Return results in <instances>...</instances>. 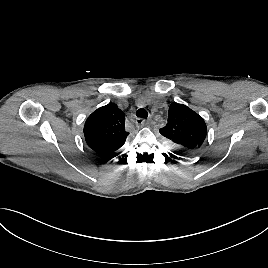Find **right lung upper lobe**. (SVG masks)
Instances as JSON below:
<instances>
[{
	"instance_id": "cb5924a9",
	"label": "right lung upper lobe",
	"mask_w": 268,
	"mask_h": 268,
	"mask_svg": "<svg viewBox=\"0 0 268 268\" xmlns=\"http://www.w3.org/2000/svg\"><path fill=\"white\" fill-rule=\"evenodd\" d=\"M128 135L125 130V116L114 103L95 110L84 125L86 143L104 157L115 156Z\"/></svg>"
}]
</instances>
